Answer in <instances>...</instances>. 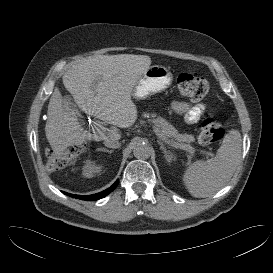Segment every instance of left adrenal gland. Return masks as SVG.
I'll return each mask as SVG.
<instances>
[{"instance_id":"1","label":"left adrenal gland","mask_w":273,"mask_h":273,"mask_svg":"<svg viewBox=\"0 0 273 273\" xmlns=\"http://www.w3.org/2000/svg\"><path fill=\"white\" fill-rule=\"evenodd\" d=\"M157 142H158V144L160 145V149H161V150L163 151V153H164L165 159H166L168 162H170V161L172 160V153H171L169 150H167V148L164 146V143H163L161 140H158Z\"/></svg>"}]
</instances>
